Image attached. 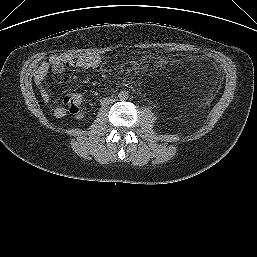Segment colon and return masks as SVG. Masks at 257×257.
Returning <instances> with one entry per match:
<instances>
[{"label":"colon","instance_id":"colon-1","mask_svg":"<svg viewBox=\"0 0 257 257\" xmlns=\"http://www.w3.org/2000/svg\"><path fill=\"white\" fill-rule=\"evenodd\" d=\"M166 53H175L176 49L173 47H166L164 49ZM82 98L80 95L72 93L65 95L61 100H59L58 104L64 106L68 109L69 112L75 113L81 107Z\"/></svg>","mask_w":257,"mask_h":257}]
</instances>
